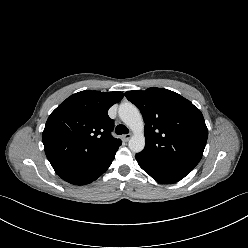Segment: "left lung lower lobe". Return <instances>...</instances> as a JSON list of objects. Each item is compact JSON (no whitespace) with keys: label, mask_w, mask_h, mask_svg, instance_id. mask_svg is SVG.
Returning <instances> with one entry per match:
<instances>
[{"label":"left lung lower lobe","mask_w":248,"mask_h":248,"mask_svg":"<svg viewBox=\"0 0 248 248\" xmlns=\"http://www.w3.org/2000/svg\"><path fill=\"white\" fill-rule=\"evenodd\" d=\"M136 160L139 166L147 174H149L156 181L163 184H171L178 182L181 179H183L185 176H187L188 173L191 171L184 168L156 163L138 154H136Z\"/></svg>","instance_id":"obj_1"}]
</instances>
